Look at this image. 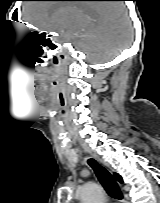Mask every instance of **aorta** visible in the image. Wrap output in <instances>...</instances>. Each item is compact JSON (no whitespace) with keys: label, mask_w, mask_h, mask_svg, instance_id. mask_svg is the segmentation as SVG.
I'll return each instance as SVG.
<instances>
[{"label":"aorta","mask_w":160,"mask_h":203,"mask_svg":"<svg viewBox=\"0 0 160 203\" xmlns=\"http://www.w3.org/2000/svg\"><path fill=\"white\" fill-rule=\"evenodd\" d=\"M81 203H104L102 188L93 182L85 184L80 190Z\"/></svg>","instance_id":"obj_1"}]
</instances>
